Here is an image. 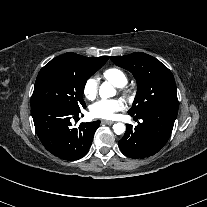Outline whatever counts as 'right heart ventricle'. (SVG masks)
Listing matches in <instances>:
<instances>
[{"label": "right heart ventricle", "mask_w": 207, "mask_h": 207, "mask_svg": "<svg viewBox=\"0 0 207 207\" xmlns=\"http://www.w3.org/2000/svg\"><path fill=\"white\" fill-rule=\"evenodd\" d=\"M102 76L119 88L126 86L128 82L126 74L121 69L115 67L104 70Z\"/></svg>", "instance_id": "right-heart-ventricle-1"}]
</instances>
